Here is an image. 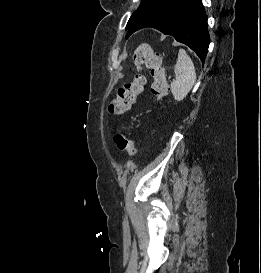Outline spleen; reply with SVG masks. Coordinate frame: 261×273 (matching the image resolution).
<instances>
[{
  "label": "spleen",
  "instance_id": "spleen-1",
  "mask_svg": "<svg viewBox=\"0 0 261 273\" xmlns=\"http://www.w3.org/2000/svg\"><path fill=\"white\" fill-rule=\"evenodd\" d=\"M174 75L175 80L171 82V93L176 101H182L196 81L193 61L184 49H179Z\"/></svg>",
  "mask_w": 261,
  "mask_h": 273
}]
</instances>
